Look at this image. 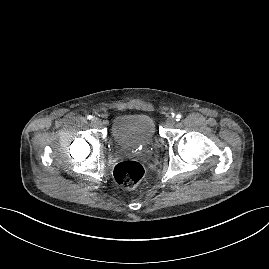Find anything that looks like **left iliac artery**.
I'll list each match as a JSON object with an SVG mask.
<instances>
[{"mask_svg":"<svg viewBox=\"0 0 269 269\" xmlns=\"http://www.w3.org/2000/svg\"><path fill=\"white\" fill-rule=\"evenodd\" d=\"M181 118H182V115L178 114V115L176 116V121H179Z\"/></svg>","mask_w":269,"mask_h":269,"instance_id":"1","label":"left iliac artery"}]
</instances>
